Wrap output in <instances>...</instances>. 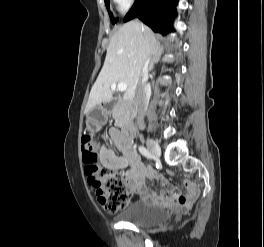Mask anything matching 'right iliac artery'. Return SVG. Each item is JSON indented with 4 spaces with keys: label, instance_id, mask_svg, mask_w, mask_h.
<instances>
[{
    "label": "right iliac artery",
    "instance_id": "82829eb1",
    "mask_svg": "<svg viewBox=\"0 0 264 247\" xmlns=\"http://www.w3.org/2000/svg\"><path fill=\"white\" fill-rule=\"evenodd\" d=\"M139 151L140 153L145 156L148 159L152 158L151 153L149 152V150L147 148H145L144 146H139Z\"/></svg>",
    "mask_w": 264,
    "mask_h": 247
}]
</instances>
